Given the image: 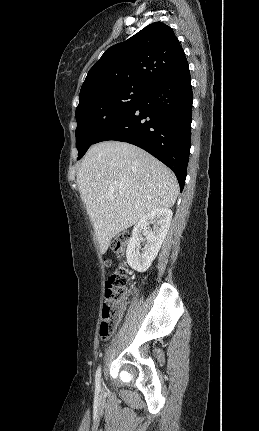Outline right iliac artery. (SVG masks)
Returning a JSON list of instances; mask_svg holds the SVG:
<instances>
[{
  "label": "right iliac artery",
  "instance_id": "1",
  "mask_svg": "<svg viewBox=\"0 0 259 431\" xmlns=\"http://www.w3.org/2000/svg\"><path fill=\"white\" fill-rule=\"evenodd\" d=\"M100 380H101V367L99 366L97 371H96V376H95V387L96 390L99 391L100 390Z\"/></svg>",
  "mask_w": 259,
  "mask_h": 431
}]
</instances>
